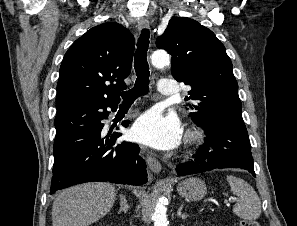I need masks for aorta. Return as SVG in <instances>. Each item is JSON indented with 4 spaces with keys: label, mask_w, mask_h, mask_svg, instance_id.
<instances>
[{
    "label": "aorta",
    "mask_w": 297,
    "mask_h": 226,
    "mask_svg": "<svg viewBox=\"0 0 297 226\" xmlns=\"http://www.w3.org/2000/svg\"><path fill=\"white\" fill-rule=\"evenodd\" d=\"M151 63L156 68H163L169 65V55L164 51H156L151 55ZM154 226H168L164 198H159L153 214Z\"/></svg>",
    "instance_id": "obj_1"
}]
</instances>
